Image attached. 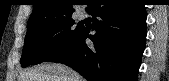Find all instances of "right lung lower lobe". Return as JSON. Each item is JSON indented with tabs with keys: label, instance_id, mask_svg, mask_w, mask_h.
I'll list each match as a JSON object with an SVG mask.
<instances>
[{
	"label": "right lung lower lobe",
	"instance_id": "obj_1",
	"mask_svg": "<svg viewBox=\"0 0 169 81\" xmlns=\"http://www.w3.org/2000/svg\"><path fill=\"white\" fill-rule=\"evenodd\" d=\"M88 11L95 19L93 47L89 30L79 34L46 62L69 65L88 81H137L145 48L146 11L137 0H94Z\"/></svg>",
	"mask_w": 169,
	"mask_h": 81
}]
</instances>
